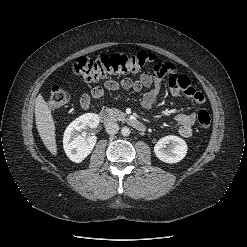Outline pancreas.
Wrapping results in <instances>:
<instances>
[{"mask_svg":"<svg viewBox=\"0 0 247 247\" xmlns=\"http://www.w3.org/2000/svg\"><path fill=\"white\" fill-rule=\"evenodd\" d=\"M111 112H112V117L115 120H123L125 118V113L121 112L118 109L114 108L111 110Z\"/></svg>","mask_w":247,"mask_h":247,"instance_id":"pancreas-1","label":"pancreas"}]
</instances>
